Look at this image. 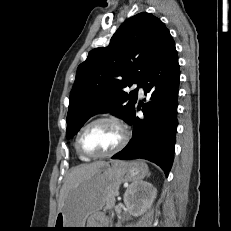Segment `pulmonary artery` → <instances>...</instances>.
<instances>
[{
    "label": "pulmonary artery",
    "instance_id": "pulmonary-artery-1",
    "mask_svg": "<svg viewBox=\"0 0 231 231\" xmlns=\"http://www.w3.org/2000/svg\"><path fill=\"white\" fill-rule=\"evenodd\" d=\"M135 87L138 88V93H139V96L140 97H143L144 96V88L138 84H135Z\"/></svg>",
    "mask_w": 231,
    "mask_h": 231
}]
</instances>
